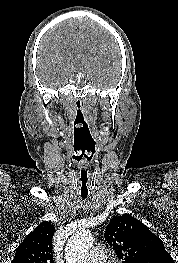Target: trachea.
I'll use <instances>...</instances> for the list:
<instances>
[{"instance_id":"obj_1","label":"trachea","mask_w":178,"mask_h":263,"mask_svg":"<svg viewBox=\"0 0 178 263\" xmlns=\"http://www.w3.org/2000/svg\"><path fill=\"white\" fill-rule=\"evenodd\" d=\"M88 170L87 169H81L80 175H79V191L83 198H86L88 196Z\"/></svg>"}]
</instances>
